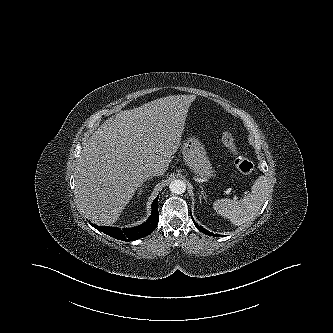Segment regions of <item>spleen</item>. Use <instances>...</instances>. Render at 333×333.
<instances>
[{
    "label": "spleen",
    "instance_id": "1",
    "mask_svg": "<svg viewBox=\"0 0 333 333\" xmlns=\"http://www.w3.org/2000/svg\"><path fill=\"white\" fill-rule=\"evenodd\" d=\"M269 188L270 183L267 177L260 176L254 182L251 191L245 193L241 200L218 199L213 203L214 210L230 219L233 225H243L255 217L265 200Z\"/></svg>",
    "mask_w": 333,
    "mask_h": 333
}]
</instances>
